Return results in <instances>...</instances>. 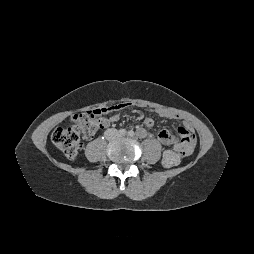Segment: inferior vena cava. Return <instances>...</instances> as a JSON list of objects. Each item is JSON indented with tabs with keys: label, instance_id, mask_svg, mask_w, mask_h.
Returning <instances> with one entry per match:
<instances>
[{
	"label": "inferior vena cava",
	"instance_id": "obj_1",
	"mask_svg": "<svg viewBox=\"0 0 254 254\" xmlns=\"http://www.w3.org/2000/svg\"><path fill=\"white\" fill-rule=\"evenodd\" d=\"M104 135L109 140L118 137V132L115 129H108L105 131Z\"/></svg>",
	"mask_w": 254,
	"mask_h": 254
}]
</instances>
